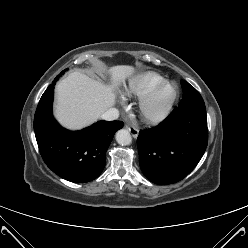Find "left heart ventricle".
<instances>
[{"mask_svg":"<svg viewBox=\"0 0 248 248\" xmlns=\"http://www.w3.org/2000/svg\"><path fill=\"white\" fill-rule=\"evenodd\" d=\"M172 95H173L172 87H165L161 89L153 101L152 109L159 110L160 108L164 107L171 99Z\"/></svg>","mask_w":248,"mask_h":248,"instance_id":"1","label":"left heart ventricle"}]
</instances>
